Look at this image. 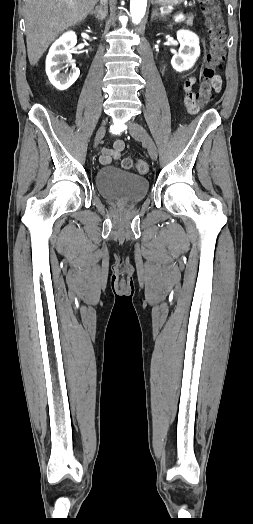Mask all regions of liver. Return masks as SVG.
<instances>
[{
	"label": "liver",
	"instance_id": "liver-1",
	"mask_svg": "<svg viewBox=\"0 0 253 524\" xmlns=\"http://www.w3.org/2000/svg\"><path fill=\"white\" fill-rule=\"evenodd\" d=\"M98 0H27L26 42L33 66L58 34L84 20Z\"/></svg>",
	"mask_w": 253,
	"mask_h": 524
}]
</instances>
